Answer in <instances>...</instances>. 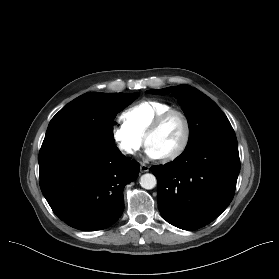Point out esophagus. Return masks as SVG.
<instances>
[{
  "label": "esophagus",
  "mask_w": 279,
  "mask_h": 279,
  "mask_svg": "<svg viewBox=\"0 0 279 279\" xmlns=\"http://www.w3.org/2000/svg\"><path fill=\"white\" fill-rule=\"evenodd\" d=\"M149 171V166L145 163H141L140 164V172L141 173H145Z\"/></svg>",
  "instance_id": "esophagus-1"
}]
</instances>
